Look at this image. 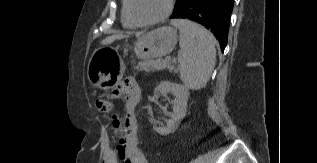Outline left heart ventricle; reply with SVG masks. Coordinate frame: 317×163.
<instances>
[{
	"label": "left heart ventricle",
	"mask_w": 317,
	"mask_h": 163,
	"mask_svg": "<svg viewBox=\"0 0 317 163\" xmlns=\"http://www.w3.org/2000/svg\"><path fill=\"white\" fill-rule=\"evenodd\" d=\"M166 7V0H133V12L142 21L160 16Z\"/></svg>",
	"instance_id": "left-heart-ventricle-1"
}]
</instances>
